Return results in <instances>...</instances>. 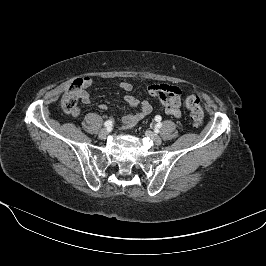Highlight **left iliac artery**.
<instances>
[{
	"instance_id": "44dca946",
	"label": "left iliac artery",
	"mask_w": 266,
	"mask_h": 266,
	"mask_svg": "<svg viewBox=\"0 0 266 266\" xmlns=\"http://www.w3.org/2000/svg\"><path fill=\"white\" fill-rule=\"evenodd\" d=\"M155 118H156L157 121H159V123L156 124L155 128L159 129V128L162 127V123H160L161 116L157 115Z\"/></svg>"
}]
</instances>
